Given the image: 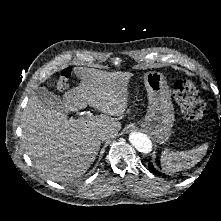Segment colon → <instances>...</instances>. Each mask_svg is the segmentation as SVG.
I'll use <instances>...</instances> for the list:
<instances>
[{
  "instance_id": "obj_1",
  "label": "colon",
  "mask_w": 221,
  "mask_h": 221,
  "mask_svg": "<svg viewBox=\"0 0 221 221\" xmlns=\"http://www.w3.org/2000/svg\"><path fill=\"white\" fill-rule=\"evenodd\" d=\"M72 75L71 68L62 71L58 81L59 89L67 87L68 81ZM174 95L184 116L191 121H201L204 119L208 105L199 97L197 87L191 80H179L174 85Z\"/></svg>"
}]
</instances>
